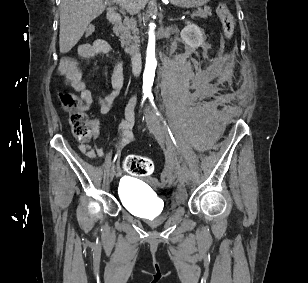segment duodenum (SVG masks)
Returning a JSON list of instances; mask_svg holds the SVG:
<instances>
[{"label":"duodenum","instance_id":"1","mask_svg":"<svg viewBox=\"0 0 308 283\" xmlns=\"http://www.w3.org/2000/svg\"><path fill=\"white\" fill-rule=\"evenodd\" d=\"M108 23L111 26H117L120 23V16L118 14L109 15ZM130 64L134 74L140 72L142 66V56L140 52L136 51L131 54Z\"/></svg>","mask_w":308,"mask_h":283}]
</instances>
